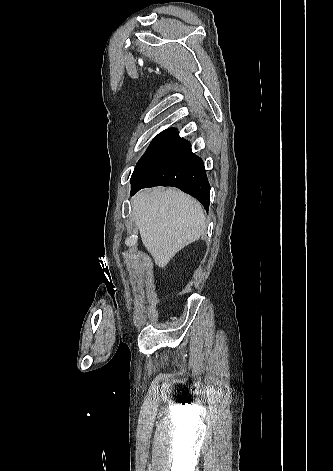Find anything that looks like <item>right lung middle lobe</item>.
<instances>
[{"instance_id": "obj_1", "label": "right lung middle lobe", "mask_w": 333, "mask_h": 471, "mask_svg": "<svg viewBox=\"0 0 333 471\" xmlns=\"http://www.w3.org/2000/svg\"><path fill=\"white\" fill-rule=\"evenodd\" d=\"M165 131H166V130H165ZM165 131H163V132H165ZM163 132H161L160 134H158V135L153 139V141H155ZM153 141H152V142H153Z\"/></svg>"}]
</instances>
